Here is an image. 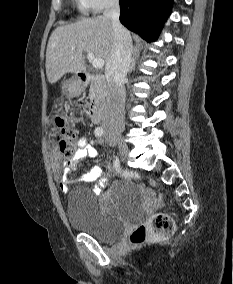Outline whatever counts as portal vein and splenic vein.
Returning a JSON list of instances; mask_svg holds the SVG:
<instances>
[{"mask_svg":"<svg viewBox=\"0 0 233 284\" xmlns=\"http://www.w3.org/2000/svg\"><path fill=\"white\" fill-rule=\"evenodd\" d=\"M87 58L90 60L92 66L95 69H101L104 66V60L98 57H95L93 53H87Z\"/></svg>","mask_w":233,"mask_h":284,"instance_id":"portal-vein-and-splenic-vein-1","label":"portal vein and splenic vein"}]
</instances>
